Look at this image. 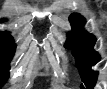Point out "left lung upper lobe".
Masks as SVG:
<instances>
[{
	"mask_svg": "<svg viewBox=\"0 0 107 89\" xmlns=\"http://www.w3.org/2000/svg\"><path fill=\"white\" fill-rule=\"evenodd\" d=\"M72 31L68 33L65 47L72 49V53L77 59L78 69L84 84L81 88L92 89L97 80L98 72L91 67L100 61V55L93 50L96 38L83 30L85 19L79 14H72L69 17Z\"/></svg>",
	"mask_w": 107,
	"mask_h": 89,
	"instance_id": "left-lung-upper-lobe-1",
	"label": "left lung upper lobe"
}]
</instances>
